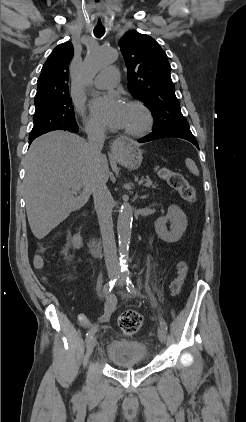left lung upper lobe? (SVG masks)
<instances>
[{
    "label": "left lung upper lobe",
    "instance_id": "1",
    "mask_svg": "<svg viewBox=\"0 0 246 422\" xmlns=\"http://www.w3.org/2000/svg\"><path fill=\"white\" fill-rule=\"evenodd\" d=\"M119 46L127 67L128 89L152 111L153 132L190 130L175 95L167 55L160 45L148 35L129 31Z\"/></svg>",
    "mask_w": 246,
    "mask_h": 422
}]
</instances>
